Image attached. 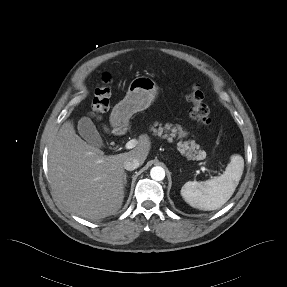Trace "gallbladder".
<instances>
[{
    "label": "gallbladder",
    "instance_id": "gallbladder-1",
    "mask_svg": "<svg viewBox=\"0 0 287 287\" xmlns=\"http://www.w3.org/2000/svg\"><path fill=\"white\" fill-rule=\"evenodd\" d=\"M77 129L82 138H84L91 145L97 147L103 146V141L90 118L82 117L78 121Z\"/></svg>",
    "mask_w": 287,
    "mask_h": 287
}]
</instances>
